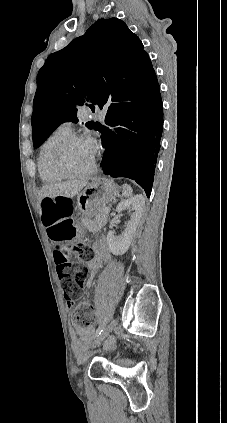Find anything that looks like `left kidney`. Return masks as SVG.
I'll return each instance as SVG.
<instances>
[{"instance_id": "left-kidney-1", "label": "left kidney", "mask_w": 227, "mask_h": 423, "mask_svg": "<svg viewBox=\"0 0 227 423\" xmlns=\"http://www.w3.org/2000/svg\"><path fill=\"white\" fill-rule=\"evenodd\" d=\"M144 206L145 198H143V196H134V198L124 200V202L118 204L116 208L118 213L123 210L134 211L129 221H127L126 227L121 235H115V231H108L107 233V245L114 255H122V253L127 251L137 229V225L143 215Z\"/></svg>"}]
</instances>
